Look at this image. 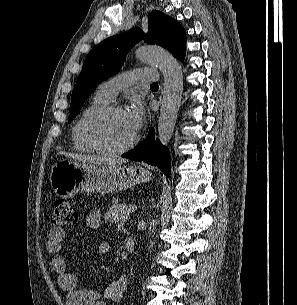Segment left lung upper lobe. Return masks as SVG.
I'll return each mask as SVG.
<instances>
[{"mask_svg":"<svg viewBox=\"0 0 297 305\" xmlns=\"http://www.w3.org/2000/svg\"><path fill=\"white\" fill-rule=\"evenodd\" d=\"M148 22L149 29L146 35L140 28L135 27L103 40L87 55L71 96L72 117L76 116L78 109L98 82L108 79L120 70L128 51L142 38L149 44L166 48L174 57L183 61L186 52V33L179 22L161 11H152L148 16Z\"/></svg>","mask_w":297,"mask_h":305,"instance_id":"1","label":"left lung upper lobe"}]
</instances>
